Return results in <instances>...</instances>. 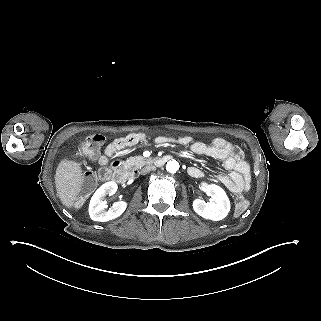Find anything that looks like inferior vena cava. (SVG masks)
<instances>
[{"instance_id": "inferior-vena-cava-1", "label": "inferior vena cava", "mask_w": 321, "mask_h": 321, "mask_svg": "<svg viewBox=\"0 0 321 321\" xmlns=\"http://www.w3.org/2000/svg\"><path fill=\"white\" fill-rule=\"evenodd\" d=\"M153 170H156V167L154 165H148V166L141 169V174L145 175Z\"/></svg>"}]
</instances>
